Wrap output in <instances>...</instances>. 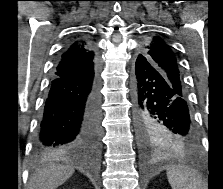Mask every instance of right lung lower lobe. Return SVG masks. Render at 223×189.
Masks as SVG:
<instances>
[{"mask_svg":"<svg viewBox=\"0 0 223 189\" xmlns=\"http://www.w3.org/2000/svg\"><path fill=\"white\" fill-rule=\"evenodd\" d=\"M99 66L78 76H52L35 139V151L53 154L82 146L100 147Z\"/></svg>","mask_w":223,"mask_h":189,"instance_id":"obj_1","label":"right lung lower lobe"}]
</instances>
